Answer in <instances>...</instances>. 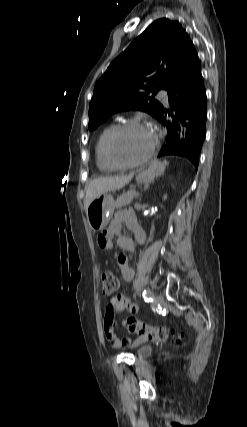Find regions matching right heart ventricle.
<instances>
[{
    "label": "right heart ventricle",
    "mask_w": 247,
    "mask_h": 427,
    "mask_svg": "<svg viewBox=\"0 0 247 427\" xmlns=\"http://www.w3.org/2000/svg\"><path fill=\"white\" fill-rule=\"evenodd\" d=\"M116 124L112 123L106 126L99 134L95 144V159L97 167L102 172L116 171L113 165L109 163L105 155V142L110 132L115 128Z\"/></svg>",
    "instance_id": "e07e8e85"
}]
</instances>
